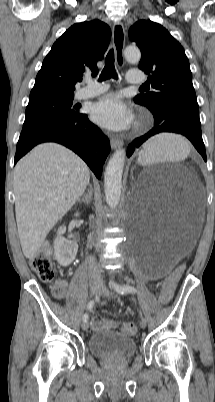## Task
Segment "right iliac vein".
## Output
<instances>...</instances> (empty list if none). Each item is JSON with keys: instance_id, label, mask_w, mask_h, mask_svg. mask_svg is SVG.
<instances>
[{"instance_id": "1", "label": "right iliac vein", "mask_w": 215, "mask_h": 402, "mask_svg": "<svg viewBox=\"0 0 215 402\" xmlns=\"http://www.w3.org/2000/svg\"><path fill=\"white\" fill-rule=\"evenodd\" d=\"M90 290H91L92 294H96L98 292V290H99V285L98 284H92L90 286ZM82 329L84 331H86L88 329V323L87 322L82 323Z\"/></svg>"}]
</instances>
